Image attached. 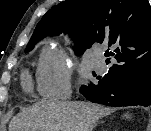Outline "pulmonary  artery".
I'll return each mask as SVG.
<instances>
[{"mask_svg": "<svg viewBox=\"0 0 151 131\" xmlns=\"http://www.w3.org/2000/svg\"><path fill=\"white\" fill-rule=\"evenodd\" d=\"M96 66L98 69H104L105 68V63L104 60L102 59L101 53L96 52Z\"/></svg>", "mask_w": 151, "mask_h": 131, "instance_id": "e3ab8cb5", "label": "pulmonary artery"}]
</instances>
